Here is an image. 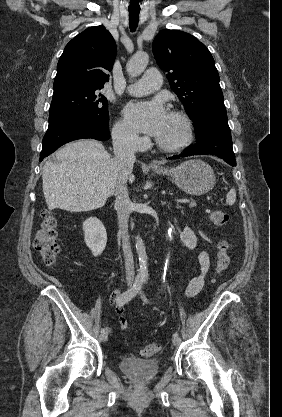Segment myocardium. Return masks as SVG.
Returning a JSON list of instances; mask_svg holds the SVG:
<instances>
[{
    "mask_svg": "<svg viewBox=\"0 0 282 417\" xmlns=\"http://www.w3.org/2000/svg\"><path fill=\"white\" fill-rule=\"evenodd\" d=\"M168 116L174 117L180 121L183 129L182 135L178 140L173 142H165L156 137L155 141L157 145L167 150H175L186 146L192 140L193 137L191 120L187 115L178 111H169Z\"/></svg>",
    "mask_w": 282,
    "mask_h": 417,
    "instance_id": "myocardium-1",
    "label": "myocardium"
}]
</instances>
